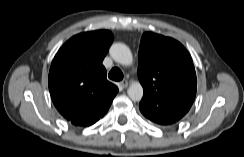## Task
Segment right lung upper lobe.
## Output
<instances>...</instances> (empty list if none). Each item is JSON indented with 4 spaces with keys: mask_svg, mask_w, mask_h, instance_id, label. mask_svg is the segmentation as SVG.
I'll use <instances>...</instances> for the list:
<instances>
[{
    "mask_svg": "<svg viewBox=\"0 0 244 157\" xmlns=\"http://www.w3.org/2000/svg\"><path fill=\"white\" fill-rule=\"evenodd\" d=\"M108 30L69 39L55 55L48 85L59 113L76 126H90L108 111L118 88L106 79L102 61L113 42Z\"/></svg>",
    "mask_w": 244,
    "mask_h": 157,
    "instance_id": "right-lung-upper-lobe-1",
    "label": "right lung upper lobe"
}]
</instances>
